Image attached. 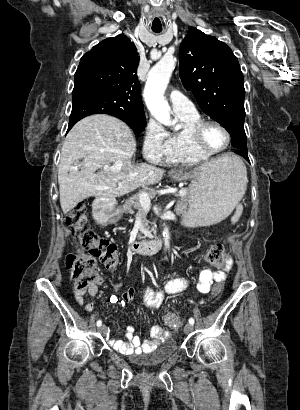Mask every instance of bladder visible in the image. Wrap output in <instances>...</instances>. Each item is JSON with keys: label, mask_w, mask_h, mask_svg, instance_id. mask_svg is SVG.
I'll list each match as a JSON object with an SVG mask.
<instances>
[{"label": "bladder", "mask_w": 300, "mask_h": 410, "mask_svg": "<svg viewBox=\"0 0 300 410\" xmlns=\"http://www.w3.org/2000/svg\"><path fill=\"white\" fill-rule=\"evenodd\" d=\"M177 351L174 342H167L165 345L158 346L146 355H129V360L143 367L156 366L165 363Z\"/></svg>", "instance_id": "bladder-1"}]
</instances>
